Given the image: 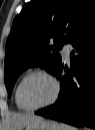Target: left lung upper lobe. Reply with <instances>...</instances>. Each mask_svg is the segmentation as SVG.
I'll use <instances>...</instances> for the list:
<instances>
[{
  "label": "left lung upper lobe",
  "mask_w": 95,
  "mask_h": 130,
  "mask_svg": "<svg viewBox=\"0 0 95 130\" xmlns=\"http://www.w3.org/2000/svg\"><path fill=\"white\" fill-rule=\"evenodd\" d=\"M92 13H95V0L27 3L14 19L6 43L4 82L9 96L20 73L29 67L40 66L54 74L61 62L58 50Z\"/></svg>",
  "instance_id": "1"
}]
</instances>
